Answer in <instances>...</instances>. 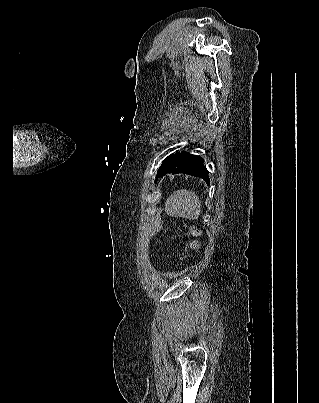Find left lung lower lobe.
<instances>
[{
  "label": "left lung lower lobe",
  "instance_id": "0a47b994",
  "mask_svg": "<svg viewBox=\"0 0 319 403\" xmlns=\"http://www.w3.org/2000/svg\"><path fill=\"white\" fill-rule=\"evenodd\" d=\"M166 173H185L200 177L208 184L210 183L208 171L203 164V159L187 152H176L160 177L166 175Z\"/></svg>",
  "mask_w": 319,
  "mask_h": 403
}]
</instances>
